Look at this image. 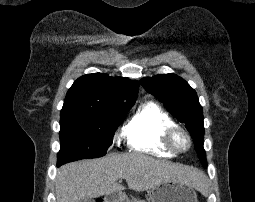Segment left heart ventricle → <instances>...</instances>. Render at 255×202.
I'll return each mask as SVG.
<instances>
[{
    "instance_id": "1",
    "label": "left heart ventricle",
    "mask_w": 255,
    "mask_h": 202,
    "mask_svg": "<svg viewBox=\"0 0 255 202\" xmlns=\"http://www.w3.org/2000/svg\"><path fill=\"white\" fill-rule=\"evenodd\" d=\"M175 144L178 148L184 149V148L187 147L188 142H187V139L184 135H182L181 133H178L175 136Z\"/></svg>"
}]
</instances>
